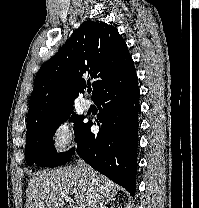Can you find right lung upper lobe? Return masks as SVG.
I'll return each mask as SVG.
<instances>
[{
  "label": "right lung upper lobe",
  "instance_id": "right-lung-upper-lobe-1",
  "mask_svg": "<svg viewBox=\"0 0 199 208\" xmlns=\"http://www.w3.org/2000/svg\"><path fill=\"white\" fill-rule=\"evenodd\" d=\"M135 74L134 62L116 27L103 22H83L36 74L27 132L72 112L74 99L91 79L95 100Z\"/></svg>",
  "mask_w": 199,
  "mask_h": 208
}]
</instances>
